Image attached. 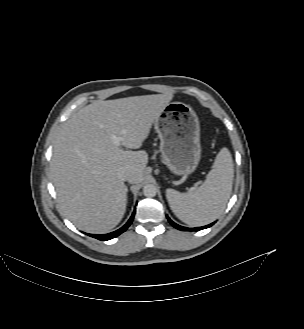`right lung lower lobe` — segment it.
I'll use <instances>...</instances> for the list:
<instances>
[{"label": "right lung lower lobe", "instance_id": "right-lung-lower-lobe-1", "mask_svg": "<svg viewBox=\"0 0 304 329\" xmlns=\"http://www.w3.org/2000/svg\"><path fill=\"white\" fill-rule=\"evenodd\" d=\"M134 215H135V211L133 212V214L130 217V219L128 220V222L123 227H121L120 229H118V230H116L114 232H111L109 234H103V235H97V234H88V235L91 236V237H94V238H96L98 240H102V241H106V240H110L112 238H115V237L119 236L121 233H123L124 231H126V229L132 223V220L134 218Z\"/></svg>", "mask_w": 304, "mask_h": 329}]
</instances>
